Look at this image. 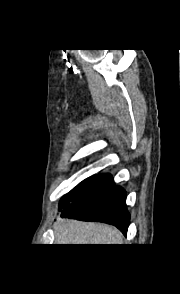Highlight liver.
<instances>
[{
  "label": "liver",
  "mask_w": 180,
  "mask_h": 294,
  "mask_svg": "<svg viewBox=\"0 0 180 294\" xmlns=\"http://www.w3.org/2000/svg\"><path fill=\"white\" fill-rule=\"evenodd\" d=\"M55 244H122V234L109 225L58 218Z\"/></svg>",
  "instance_id": "6515ba94"
}]
</instances>
